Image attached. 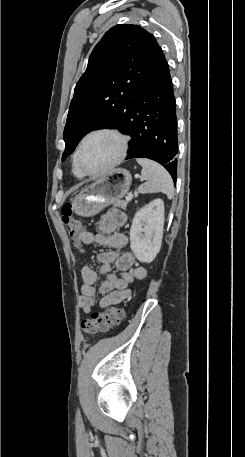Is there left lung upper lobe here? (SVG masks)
<instances>
[{"instance_id":"5c2ea615","label":"left lung upper lobe","mask_w":245,"mask_h":457,"mask_svg":"<svg viewBox=\"0 0 245 457\" xmlns=\"http://www.w3.org/2000/svg\"><path fill=\"white\" fill-rule=\"evenodd\" d=\"M161 53L155 37L138 25L119 24L93 49L76 84L63 138L64 160L95 129L124 124L145 97V85Z\"/></svg>"}]
</instances>
